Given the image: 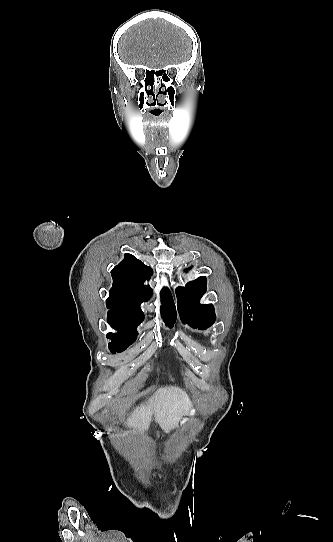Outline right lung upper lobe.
Returning <instances> with one entry per match:
<instances>
[{"mask_svg":"<svg viewBox=\"0 0 333 542\" xmlns=\"http://www.w3.org/2000/svg\"><path fill=\"white\" fill-rule=\"evenodd\" d=\"M153 271L131 254H125L124 260L115 266L111 275L113 286L106 300L108 316L133 318L143 321L144 313L140 308L142 302L148 301L153 293L150 286L144 285ZM161 312L164 322L173 326L176 311L172 295L168 289L161 292Z\"/></svg>","mask_w":333,"mask_h":542,"instance_id":"cb5924a9","label":"right lung upper lobe"}]
</instances>
